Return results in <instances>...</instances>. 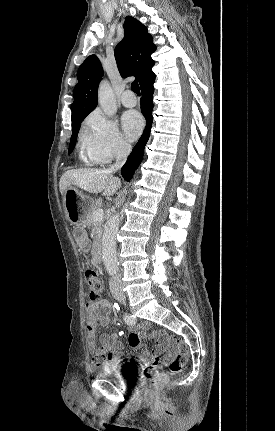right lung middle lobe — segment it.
Here are the masks:
<instances>
[{
  "instance_id": "1",
  "label": "right lung middle lobe",
  "mask_w": 275,
  "mask_h": 431,
  "mask_svg": "<svg viewBox=\"0 0 275 431\" xmlns=\"http://www.w3.org/2000/svg\"><path fill=\"white\" fill-rule=\"evenodd\" d=\"M79 128H80V123L78 125L72 127V136H71V139H70L68 154H70L73 151L74 147H75Z\"/></svg>"
}]
</instances>
